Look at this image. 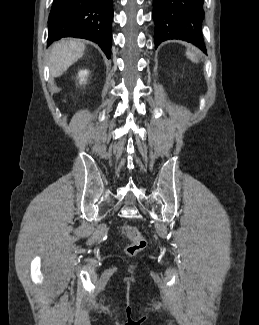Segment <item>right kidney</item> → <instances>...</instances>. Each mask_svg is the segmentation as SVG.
Instances as JSON below:
<instances>
[{"label": "right kidney", "mask_w": 259, "mask_h": 325, "mask_svg": "<svg viewBox=\"0 0 259 325\" xmlns=\"http://www.w3.org/2000/svg\"><path fill=\"white\" fill-rule=\"evenodd\" d=\"M88 74H89L88 70H81L78 73V79H79L80 84L86 83Z\"/></svg>", "instance_id": "1"}]
</instances>
